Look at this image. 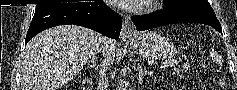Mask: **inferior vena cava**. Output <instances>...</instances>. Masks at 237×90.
<instances>
[{
	"mask_svg": "<svg viewBox=\"0 0 237 90\" xmlns=\"http://www.w3.org/2000/svg\"><path fill=\"white\" fill-rule=\"evenodd\" d=\"M103 40H107V38H103ZM112 48H116L115 44H112ZM100 50L105 60H102L98 68H96V70H98L99 72L97 90H108L109 82H108V78H106L107 70L108 68H110V66H112L114 62L115 52L114 50H111L110 52V50H107V48H100ZM109 56H111V58H109Z\"/></svg>",
	"mask_w": 237,
	"mask_h": 90,
	"instance_id": "1",
	"label": "inferior vena cava"
}]
</instances>
